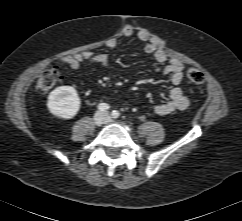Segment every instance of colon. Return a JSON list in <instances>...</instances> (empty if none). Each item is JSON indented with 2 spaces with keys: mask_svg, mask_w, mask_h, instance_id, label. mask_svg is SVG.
<instances>
[{
  "mask_svg": "<svg viewBox=\"0 0 242 221\" xmlns=\"http://www.w3.org/2000/svg\"><path fill=\"white\" fill-rule=\"evenodd\" d=\"M60 74L56 68H49L42 72L36 83V88L40 93H47L59 81ZM188 79L194 85H200L204 82V74L198 68H190Z\"/></svg>",
  "mask_w": 242,
  "mask_h": 221,
  "instance_id": "1",
  "label": "colon"
}]
</instances>
